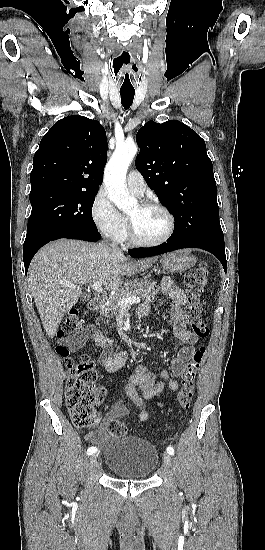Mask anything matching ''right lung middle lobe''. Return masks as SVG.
Segmentation results:
<instances>
[{
    "mask_svg": "<svg viewBox=\"0 0 265 550\" xmlns=\"http://www.w3.org/2000/svg\"><path fill=\"white\" fill-rule=\"evenodd\" d=\"M96 194L56 189L31 191L32 211L23 248L62 230L98 231L91 213Z\"/></svg>",
    "mask_w": 265,
    "mask_h": 550,
    "instance_id": "obj_1",
    "label": "right lung middle lobe"
}]
</instances>
